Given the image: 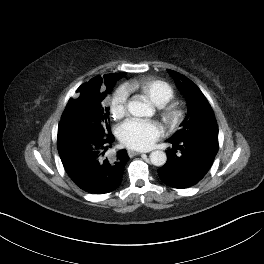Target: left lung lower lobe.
Returning a JSON list of instances; mask_svg holds the SVG:
<instances>
[{
  "label": "left lung lower lobe",
  "instance_id": "left-lung-lower-lobe-1",
  "mask_svg": "<svg viewBox=\"0 0 264 264\" xmlns=\"http://www.w3.org/2000/svg\"><path fill=\"white\" fill-rule=\"evenodd\" d=\"M166 164L158 169L160 179L167 185L184 189L203 179L218 152V140L205 137L185 139L180 142L168 140Z\"/></svg>",
  "mask_w": 264,
  "mask_h": 264
}]
</instances>
